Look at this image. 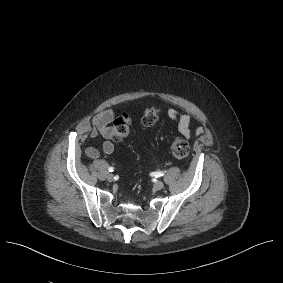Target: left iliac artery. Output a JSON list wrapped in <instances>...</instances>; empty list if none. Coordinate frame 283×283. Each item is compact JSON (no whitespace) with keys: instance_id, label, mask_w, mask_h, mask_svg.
Instances as JSON below:
<instances>
[{"instance_id":"44dca946","label":"left iliac artery","mask_w":283,"mask_h":283,"mask_svg":"<svg viewBox=\"0 0 283 283\" xmlns=\"http://www.w3.org/2000/svg\"><path fill=\"white\" fill-rule=\"evenodd\" d=\"M165 172L166 171H157V172H153V175L157 178L163 176Z\"/></svg>"}]
</instances>
